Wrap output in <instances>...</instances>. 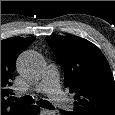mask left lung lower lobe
<instances>
[{"label": "left lung lower lobe", "instance_id": "obj_1", "mask_svg": "<svg viewBox=\"0 0 115 115\" xmlns=\"http://www.w3.org/2000/svg\"><path fill=\"white\" fill-rule=\"evenodd\" d=\"M60 113L62 114V115H73V114H71V113H69L68 111H60Z\"/></svg>", "mask_w": 115, "mask_h": 115}]
</instances>
